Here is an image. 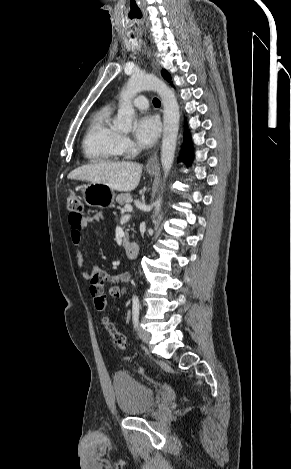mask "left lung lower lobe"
<instances>
[{"mask_svg": "<svg viewBox=\"0 0 291 469\" xmlns=\"http://www.w3.org/2000/svg\"><path fill=\"white\" fill-rule=\"evenodd\" d=\"M192 157H193V152H192V146L190 142V135H189V132L185 130L181 160L186 162L187 164H190L192 161Z\"/></svg>", "mask_w": 291, "mask_h": 469, "instance_id": "obj_1", "label": "left lung lower lobe"}]
</instances>
